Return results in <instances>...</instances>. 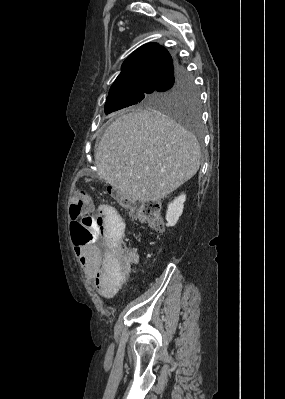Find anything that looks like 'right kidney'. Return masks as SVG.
<instances>
[{"mask_svg":"<svg viewBox=\"0 0 285 399\" xmlns=\"http://www.w3.org/2000/svg\"><path fill=\"white\" fill-rule=\"evenodd\" d=\"M186 200V195L181 194L177 198L173 200V202L169 203L168 209L166 212V221H167V226L172 227L175 226L176 223L179 220V217L183 213V208H184V202Z\"/></svg>","mask_w":285,"mask_h":399,"instance_id":"1","label":"right kidney"}]
</instances>
